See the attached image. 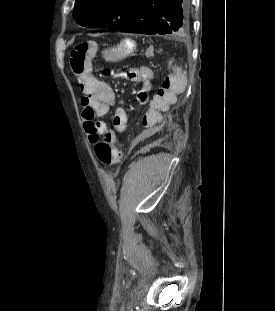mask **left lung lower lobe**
I'll list each match as a JSON object with an SVG mask.
<instances>
[{
  "label": "left lung lower lobe",
  "instance_id": "0a47b994",
  "mask_svg": "<svg viewBox=\"0 0 275 311\" xmlns=\"http://www.w3.org/2000/svg\"><path fill=\"white\" fill-rule=\"evenodd\" d=\"M189 26V0H142L134 14L114 31L181 34Z\"/></svg>",
  "mask_w": 275,
  "mask_h": 311
}]
</instances>
